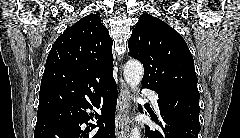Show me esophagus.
<instances>
[{
    "mask_svg": "<svg viewBox=\"0 0 240 138\" xmlns=\"http://www.w3.org/2000/svg\"><path fill=\"white\" fill-rule=\"evenodd\" d=\"M119 82L120 94L117 105L118 112L115 118V131L118 137L127 138L129 129L127 125V116L129 112V93L122 76L119 77Z\"/></svg>",
    "mask_w": 240,
    "mask_h": 138,
    "instance_id": "34e87169",
    "label": "esophagus"
}]
</instances>
